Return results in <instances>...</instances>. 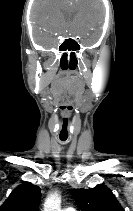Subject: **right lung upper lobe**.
<instances>
[{"instance_id":"1","label":"right lung upper lobe","mask_w":133,"mask_h":211,"mask_svg":"<svg viewBox=\"0 0 133 211\" xmlns=\"http://www.w3.org/2000/svg\"><path fill=\"white\" fill-rule=\"evenodd\" d=\"M40 198V188L26 182L11 192L0 207V211H38Z\"/></svg>"}]
</instances>
